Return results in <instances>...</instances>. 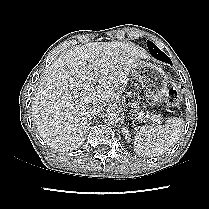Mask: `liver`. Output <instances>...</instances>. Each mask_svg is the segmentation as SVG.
<instances>
[{"label":"liver","mask_w":209,"mask_h":209,"mask_svg":"<svg viewBox=\"0 0 209 209\" xmlns=\"http://www.w3.org/2000/svg\"><path fill=\"white\" fill-rule=\"evenodd\" d=\"M145 57L137 46L117 41L87 43L59 57L34 96L32 118L40 137L55 150H77L86 139L91 109L117 100L132 67ZM93 81L99 85L93 87Z\"/></svg>","instance_id":"1"}]
</instances>
